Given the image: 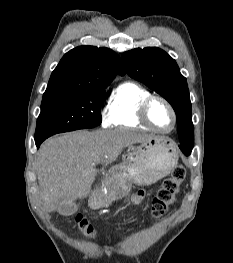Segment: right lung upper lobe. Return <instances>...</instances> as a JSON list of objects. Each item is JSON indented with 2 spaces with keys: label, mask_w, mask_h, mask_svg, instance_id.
<instances>
[{
  "label": "right lung upper lobe",
  "mask_w": 233,
  "mask_h": 263,
  "mask_svg": "<svg viewBox=\"0 0 233 263\" xmlns=\"http://www.w3.org/2000/svg\"><path fill=\"white\" fill-rule=\"evenodd\" d=\"M124 75L120 57L109 48L80 46L66 53L52 72L44 95L105 89Z\"/></svg>",
  "instance_id": "right-lung-upper-lobe-1"
}]
</instances>
